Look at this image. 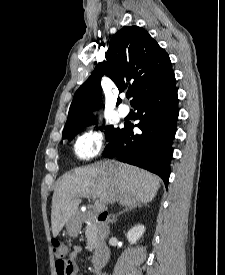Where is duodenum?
<instances>
[{
    "label": "duodenum",
    "mask_w": 225,
    "mask_h": 275,
    "mask_svg": "<svg viewBox=\"0 0 225 275\" xmlns=\"http://www.w3.org/2000/svg\"><path fill=\"white\" fill-rule=\"evenodd\" d=\"M95 232L98 236V242L96 244V252L93 257L95 271H100L108 262L110 258V250L104 243V239L109 235V230L106 221L101 218L95 220Z\"/></svg>",
    "instance_id": "410a0bca"
}]
</instances>
